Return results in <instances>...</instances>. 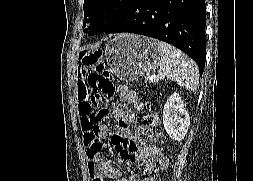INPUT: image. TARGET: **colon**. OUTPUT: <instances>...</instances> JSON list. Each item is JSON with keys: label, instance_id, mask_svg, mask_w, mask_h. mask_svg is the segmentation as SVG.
Instances as JSON below:
<instances>
[{"label": "colon", "instance_id": "colon-1", "mask_svg": "<svg viewBox=\"0 0 253 181\" xmlns=\"http://www.w3.org/2000/svg\"><path fill=\"white\" fill-rule=\"evenodd\" d=\"M105 55L103 47H85L81 55L82 67L87 70L86 84L88 87L85 103L86 114L81 117L84 131V143L89 149V155L94 160L101 158V142L104 135L102 119L106 115L104 108H99L104 101L117 95V87L107 73L102 72L101 57ZM99 108V109H97ZM147 125H155L157 117L148 113L143 118ZM148 181H154L148 177Z\"/></svg>", "mask_w": 253, "mask_h": 181}]
</instances>
